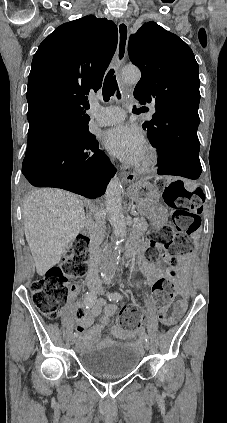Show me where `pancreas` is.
Masks as SVG:
<instances>
[{
	"instance_id": "cf45deb5",
	"label": "pancreas",
	"mask_w": 227,
	"mask_h": 423,
	"mask_svg": "<svg viewBox=\"0 0 227 423\" xmlns=\"http://www.w3.org/2000/svg\"><path fill=\"white\" fill-rule=\"evenodd\" d=\"M140 213V217H138V221H137V225L139 227V229H147L148 227V223L146 221V219H144V217H142V215H144V213H142V211H139Z\"/></svg>"
}]
</instances>
